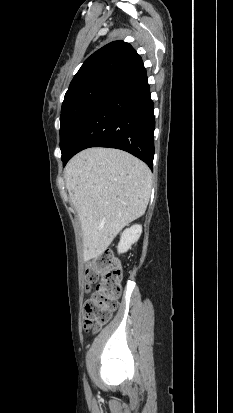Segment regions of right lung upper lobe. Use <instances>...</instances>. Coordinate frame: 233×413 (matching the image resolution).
<instances>
[{"mask_svg":"<svg viewBox=\"0 0 233 413\" xmlns=\"http://www.w3.org/2000/svg\"><path fill=\"white\" fill-rule=\"evenodd\" d=\"M142 61L129 43L111 42L93 53L81 66L66 94L99 78H115L128 72Z\"/></svg>","mask_w":233,"mask_h":413,"instance_id":"1","label":"right lung upper lobe"}]
</instances>
